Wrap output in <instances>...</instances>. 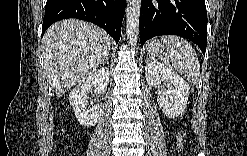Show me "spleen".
I'll use <instances>...</instances> for the list:
<instances>
[{
	"label": "spleen",
	"instance_id": "3e777b00",
	"mask_svg": "<svg viewBox=\"0 0 247 156\" xmlns=\"http://www.w3.org/2000/svg\"><path fill=\"white\" fill-rule=\"evenodd\" d=\"M161 42L166 45L163 54L167 61L179 74L186 77L189 83L196 85L200 77V64L192 45L176 35L164 36Z\"/></svg>",
	"mask_w": 247,
	"mask_h": 156
}]
</instances>
